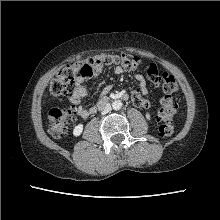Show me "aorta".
<instances>
[{
	"mask_svg": "<svg viewBox=\"0 0 220 220\" xmlns=\"http://www.w3.org/2000/svg\"><path fill=\"white\" fill-rule=\"evenodd\" d=\"M121 107H122V102H121L120 100H115V101H113V103H112V108H113L114 110H120Z\"/></svg>",
	"mask_w": 220,
	"mask_h": 220,
	"instance_id": "762f6f07",
	"label": "aorta"
}]
</instances>
